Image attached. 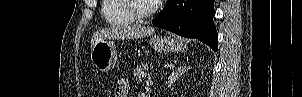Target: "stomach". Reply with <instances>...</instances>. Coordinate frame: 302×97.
I'll return each instance as SVG.
<instances>
[{
	"label": "stomach",
	"mask_w": 302,
	"mask_h": 97,
	"mask_svg": "<svg viewBox=\"0 0 302 97\" xmlns=\"http://www.w3.org/2000/svg\"><path fill=\"white\" fill-rule=\"evenodd\" d=\"M151 47L159 53H180L185 44L177 38L155 35L150 39ZM91 60L95 68L101 72L112 70L117 61V51L114 39H100L91 49Z\"/></svg>",
	"instance_id": "stomach-1"
}]
</instances>
